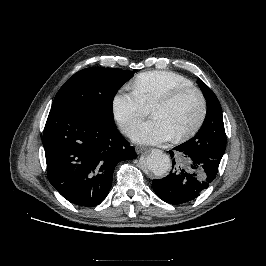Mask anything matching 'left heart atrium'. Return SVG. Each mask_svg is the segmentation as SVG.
<instances>
[{
  "label": "left heart atrium",
  "instance_id": "left-heart-atrium-1",
  "mask_svg": "<svg viewBox=\"0 0 266 266\" xmlns=\"http://www.w3.org/2000/svg\"><path fill=\"white\" fill-rule=\"evenodd\" d=\"M174 132L169 125L160 118H153L135 126L131 137L135 142L142 144H160L171 140Z\"/></svg>",
  "mask_w": 266,
  "mask_h": 266
}]
</instances>
